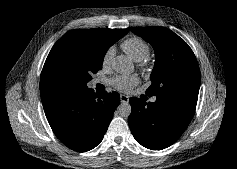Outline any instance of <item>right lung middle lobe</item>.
<instances>
[{
	"label": "right lung middle lobe",
	"instance_id": "1",
	"mask_svg": "<svg viewBox=\"0 0 237 169\" xmlns=\"http://www.w3.org/2000/svg\"><path fill=\"white\" fill-rule=\"evenodd\" d=\"M107 49L80 38L59 39L46 59L41 78L62 88L85 87L91 74L102 69Z\"/></svg>",
	"mask_w": 237,
	"mask_h": 169
}]
</instances>
